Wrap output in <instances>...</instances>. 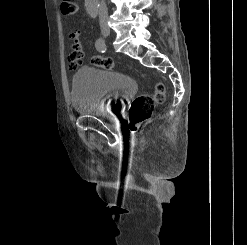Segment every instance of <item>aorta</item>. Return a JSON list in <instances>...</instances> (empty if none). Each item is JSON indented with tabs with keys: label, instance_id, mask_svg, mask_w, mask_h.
Segmentation results:
<instances>
[{
	"label": "aorta",
	"instance_id": "aorta-1",
	"mask_svg": "<svg viewBox=\"0 0 247 245\" xmlns=\"http://www.w3.org/2000/svg\"><path fill=\"white\" fill-rule=\"evenodd\" d=\"M85 6L88 14L94 18L98 12V0H85Z\"/></svg>",
	"mask_w": 247,
	"mask_h": 245
}]
</instances>
